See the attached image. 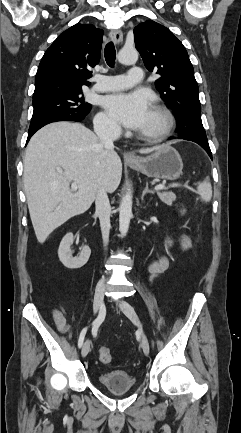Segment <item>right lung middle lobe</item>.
Here are the masks:
<instances>
[{
    "mask_svg": "<svg viewBox=\"0 0 241 433\" xmlns=\"http://www.w3.org/2000/svg\"><path fill=\"white\" fill-rule=\"evenodd\" d=\"M33 115L29 131L61 116H86L90 104L84 101L82 91L52 92L33 97Z\"/></svg>",
    "mask_w": 241,
    "mask_h": 433,
    "instance_id": "dd1d6c3e",
    "label": "right lung middle lobe"
}]
</instances>
